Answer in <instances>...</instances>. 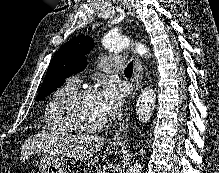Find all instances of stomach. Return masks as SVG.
Segmentation results:
<instances>
[{
    "mask_svg": "<svg viewBox=\"0 0 219 173\" xmlns=\"http://www.w3.org/2000/svg\"><path fill=\"white\" fill-rule=\"evenodd\" d=\"M117 154H122V147L114 148ZM40 173H67L62 155L50 152L43 155L39 162Z\"/></svg>",
    "mask_w": 219,
    "mask_h": 173,
    "instance_id": "obj_1",
    "label": "stomach"
}]
</instances>
